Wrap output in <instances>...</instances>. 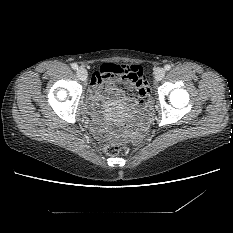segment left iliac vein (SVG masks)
Masks as SVG:
<instances>
[{
  "label": "left iliac vein",
  "mask_w": 233,
  "mask_h": 233,
  "mask_svg": "<svg viewBox=\"0 0 233 233\" xmlns=\"http://www.w3.org/2000/svg\"><path fill=\"white\" fill-rule=\"evenodd\" d=\"M165 75V70L164 68H157L156 72H155V79L157 81L161 80Z\"/></svg>",
  "instance_id": "1"
}]
</instances>
